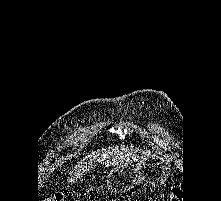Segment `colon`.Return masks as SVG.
<instances>
[{"label": "colon", "instance_id": "1", "mask_svg": "<svg viewBox=\"0 0 221 201\" xmlns=\"http://www.w3.org/2000/svg\"><path fill=\"white\" fill-rule=\"evenodd\" d=\"M44 201H68L63 194H55ZM167 201H184V193L181 188H174Z\"/></svg>", "mask_w": 221, "mask_h": 201}]
</instances>
